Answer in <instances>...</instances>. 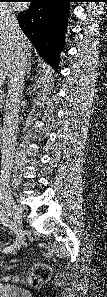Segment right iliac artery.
<instances>
[{"label": "right iliac artery", "mask_w": 107, "mask_h": 297, "mask_svg": "<svg viewBox=\"0 0 107 297\" xmlns=\"http://www.w3.org/2000/svg\"><path fill=\"white\" fill-rule=\"evenodd\" d=\"M0 200L3 202V204L6 206L5 208H1L0 210V220L2 222V224L8 226L9 228H11L15 234L18 236H20L22 234L21 229H19L16 225V223H14L12 220H10L8 217L11 215L10 211L8 209V201H7V196L4 194L3 191L0 190ZM4 252L6 253H10L12 252V245L5 248Z\"/></svg>", "instance_id": "obj_1"}]
</instances>
